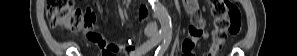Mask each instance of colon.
Wrapping results in <instances>:
<instances>
[{"label":"colon","mask_w":297,"mask_h":56,"mask_svg":"<svg viewBox=\"0 0 297 56\" xmlns=\"http://www.w3.org/2000/svg\"><path fill=\"white\" fill-rule=\"evenodd\" d=\"M210 11L214 18L212 43L205 56H215L227 35H236L241 30V14L238 7L228 0H210ZM46 14L53 28L77 31L90 28L96 19L93 9L82 11L70 0H48Z\"/></svg>","instance_id":"obj_1"}]
</instances>
